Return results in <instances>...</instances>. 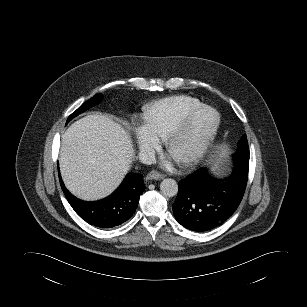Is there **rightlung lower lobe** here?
Segmentation results:
<instances>
[{
	"label": "right lung lower lobe",
	"instance_id": "right-lung-lower-lobe-1",
	"mask_svg": "<svg viewBox=\"0 0 307 307\" xmlns=\"http://www.w3.org/2000/svg\"><path fill=\"white\" fill-rule=\"evenodd\" d=\"M62 190L74 211L87 223L102 229L121 225L135 212L139 197L145 190L143 177L139 173L126 176L119 188L109 197L87 202L74 197L60 181Z\"/></svg>",
	"mask_w": 307,
	"mask_h": 307
}]
</instances>
